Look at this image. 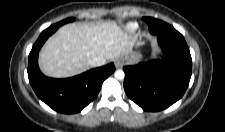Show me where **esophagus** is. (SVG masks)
Masks as SVG:
<instances>
[{
  "instance_id": "obj_1",
  "label": "esophagus",
  "mask_w": 225,
  "mask_h": 132,
  "mask_svg": "<svg viewBox=\"0 0 225 132\" xmlns=\"http://www.w3.org/2000/svg\"><path fill=\"white\" fill-rule=\"evenodd\" d=\"M122 65H123L122 59H121V58H117V59L115 60V66H116L117 68H120V67H122Z\"/></svg>"
}]
</instances>
